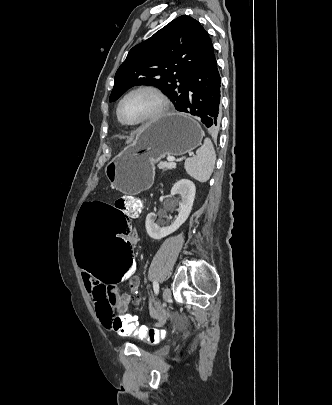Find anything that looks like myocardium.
<instances>
[{
	"mask_svg": "<svg viewBox=\"0 0 332 405\" xmlns=\"http://www.w3.org/2000/svg\"><path fill=\"white\" fill-rule=\"evenodd\" d=\"M138 91H148V92H151L152 94H154L156 96V98L158 99L159 106L152 115H150L144 119H141L138 121H127L126 119L123 118L122 113H121L122 104L128 96H130L131 94L138 92ZM168 109H169V102H168V99L165 96V94L156 86L144 84V85H139L137 87L132 88L131 90L126 92L121 97V99L119 100L118 105H117L116 113H117L118 119L123 124L128 125V126H139V125H144V124L152 123V122L159 120L167 113Z\"/></svg>",
	"mask_w": 332,
	"mask_h": 405,
	"instance_id": "myocardium-1",
	"label": "myocardium"
}]
</instances>
